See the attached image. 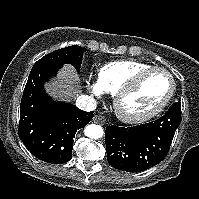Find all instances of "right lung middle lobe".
Here are the masks:
<instances>
[{
	"label": "right lung middle lobe",
	"instance_id": "obj_1",
	"mask_svg": "<svg viewBox=\"0 0 199 199\" xmlns=\"http://www.w3.org/2000/svg\"><path fill=\"white\" fill-rule=\"evenodd\" d=\"M82 55L83 49L80 46H68L45 55L34 64L32 69L44 65L72 64L79 71Z\"/></svg>",
	"mask_w": 199,
	"mask_h": 199
}]
</instances>
